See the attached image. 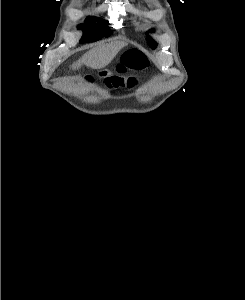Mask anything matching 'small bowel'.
<instances>
[{
    "mask_svg": "<svg viewBox=\"0 0 245 300\" xmlns=\"http://www.w3.org/2000/svg\"><path fill=\"white\" fill-rule=\"evenodd\" d=\"M135 84L133 79H129L127 82L128 87H131ZM124 85V80L118 76H110L103 80V86L107 89L117 88Z\"/></svg>",
    "mask_w": 245,
    "mask_h": 300,
    "instance_id": "small-bowel-1",
    "label": "small bowel"
}]
</instances>
